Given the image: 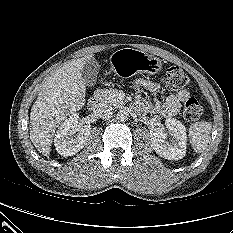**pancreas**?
Wrapping results in <instances>:
<instances>
[{
  "instance_id": "cf45deb5",
  "label": "pancreas",
  "mask_w": 233,
  "mask_h": 233,
  "mask_svg": "<svg viewBox=\"0 0 233 233\" xmlns=\"http://www.w3.org/2000/svg\"><path fill=\"white\" fill-rule=\"evenodd\" d=\"M99 99L102 103L108 104L112 107H117L123 104V101L117 97L118 90L116 89H101L97 91Z\"/></svg>"
}]
</instances>
